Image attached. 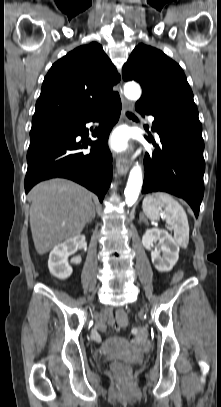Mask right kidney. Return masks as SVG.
Wrapping results in <instances>:
<instances>
[{
	"label": "right kidney",
	"mask_w": 221,
	"mask_h": 407,
	"mask_svg": "<svg viewBox=\"0 0 221 407\" xmlns=\"http://www.w3.org/2000/svg\"><path fill=\"white\" fill-rule=\"evenodd\" d=\"M84 245L85 236L77 235L55 246L50 252L48 260V268L50 273L58 279H67L73 271L72 267L69 265L68 257L77 248L83 247Z\"/></svg>",
	"instance_id": "obj_1"
}]
</instances>
